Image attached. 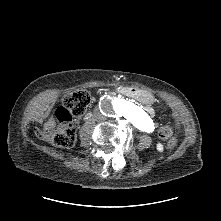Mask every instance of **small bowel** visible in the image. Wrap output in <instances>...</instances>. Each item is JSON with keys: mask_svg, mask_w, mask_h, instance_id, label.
<instances>
[{"mask_svg": "<svg viewBox=\"0 0 221 221\" xmlns=\"http://www.w3.org/2000/svg\"><path fill=\"white\" fill-rule=\"evenodd\" d=\"M147 113L148 114H151V110L150 109H147ZM170 147V146H169Z\"/></svg>", "mask_w": 221, "mask_h": 221, "instance_id": "obj_1", "label": "small bowel"}]
</instances>
